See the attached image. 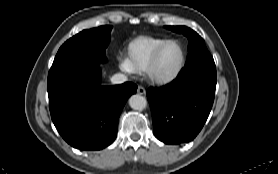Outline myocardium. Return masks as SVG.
Wrapping results in <instances>:
<instances>
[{"mask_svg": "<svg viewBox=\"0 0 278 174\" xmlns=\"http://www.w3.org/2000/svg\"><path fill=\"white\" fill-rule=\"evenodd\" d=\"M178 44L181 49V61L178 67L168 75H162L157 72V62L162 50L169 44ZM186 63V50L184 45L177 39H168L160 44L153 52L146 69L147 77L150 81L158 85H165L173 82L181 74Z\"/></svg>", "mask_w": 278, "mask_h": 174, "instance_id": "f54148a6", "label": "myocardium"}]
</instances>
